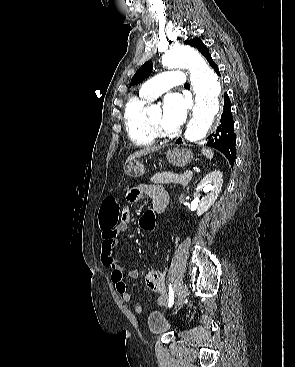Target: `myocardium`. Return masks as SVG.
Instances as JSON below:
<instances>
[{
  "mask_svg": "<svg viewBox=\"0 0 295 367\" xmlns=\"http://www.w3.org/2000/svg\"><path fill=\"white\" fill-rule=\"evenodd\" d=\"M147 124L155 136H162L165 134L161 126L154 124L149 117H147Z\"/></svg>",
  "mask_w": 295,
  "mask_h": 367,
  "instance_id": "obj_1",
  "label": "myocardium"
}]
</instances>
